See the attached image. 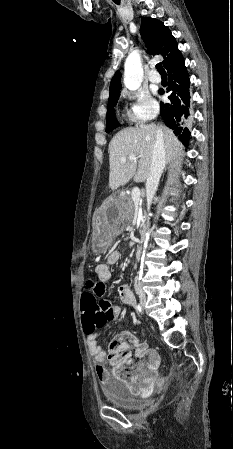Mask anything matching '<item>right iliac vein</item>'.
Here are the masks:
<instances>
[{
    "mask_svg": "<svg viewBox=\"0 0 233 449\" xmlns=\"http://www.w3.org/2000/svg\"><path fill=\"white\" fill-rule=\"evenodd\" d=\"M140 302H141V305H142L143 307L146 306V298H145V297H141V298H140Z\"/></svg>",
    "mask_w": 233,
    "mask_h": 449,
    "instance_id": "obj_1",
    "label": "right iliac vein"
}]
</instances>
